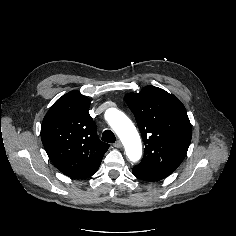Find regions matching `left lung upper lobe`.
Returning <instances> with one entry per match:
<instances>
[{
    "label": "left lung upper lobe",
    "instance_id": "1",
    "mask_svg": "<svg viewBox=\"0 0 236 236\" xmlns=\"http://www.w3.org/2000/svg\"><path fill=\"white\" fill-rule=\"evenodd\" d=\"M125 101L133 112L145 143L139 165L167 177L184 160L192 129L184 105L165 90L146 86Z\"/></svg>",
    "mask_w": 236,
    "mask_h": 236
}]
</instances>
